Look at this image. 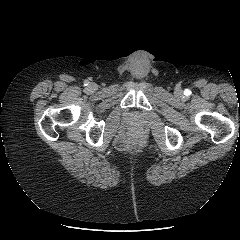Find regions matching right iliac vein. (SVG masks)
<instances>
[{"instance_id": "right-iliac-vein-1", "label": "right iliac vein", "mask_w": 240, "mask_h": 240, "mask_svg": "<svg viewBox=\"0 0 240 240\" xmlns=\"http://www.w3.org/2000/svg\"><path fill=\"white\" fill-rule=\"evenodd\" d=\"M89 89L95 91L97 89V86L95 84H90Z\"/></svg>"}]
</instances>
